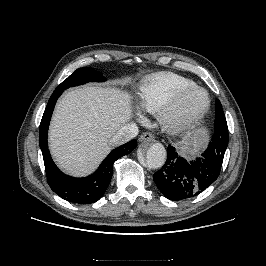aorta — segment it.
Returning <instances> with one entry per match:
<instances>
[{
  "instance_id": "aorta-1",
  "label": "aorta",
  "mask_w": 266,
  "mask_h": 266,
  "mask_svg": "<svg viewBox=\"0 0 266 266\" xmlns=\"http://www.w3.org/2000/svg\"><path fill=\"white\" fill-rule=\"evenodd\" d=\"M166 149L161 143L151 144L145 151V163L150 169H157L164 165Z\"/></svg>"
}]
</instances>
